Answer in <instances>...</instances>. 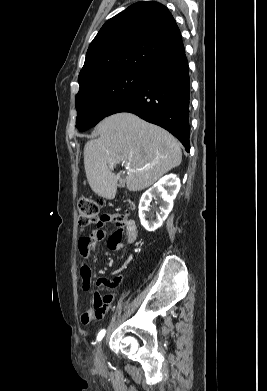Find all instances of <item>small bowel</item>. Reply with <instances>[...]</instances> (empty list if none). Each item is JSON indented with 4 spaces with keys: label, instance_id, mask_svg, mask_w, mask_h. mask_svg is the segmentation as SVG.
<instances>
[{
    "label": "small bowel",
    "instance_id": "c3829d8e",
    "mask_svg": "<svg viewBox=\"0 0 267 391\" xmlns=\"http://www.w3.org/2000/svg\"><path fill=\"white\" fill-rule=\"evenodd\" d=\"M117 214H104L101 217V221L97 224V229L94 230L89 236L92 240V248L95 243L101 240L105 233L102 230V227L107 223H114L118 229L114 231L108 238L107 245L111 250H122L125 248V245L122 243V233L125 232L127 236V242L129 244H133L137 240V227L133 220H125L122 223L118 221ZM86 254L80 252L84 263L81 267L80 275L83 282V289L90 290L92 285L95 283L98 287H105L109 289H113L118 286L121 281V275L117 274L112 279L108 278H98L95 282L92 278V273L89 266L86 264V260L88 259L91 250ZM114 293H107L105 295H101L99 292H95L92 299V305L89 310L84 312L81 316V321L84 324H87L91 321L100 319L109 309L112 301L114 300Z\"/></svg>",
    "mask_w": 267,
    "mask_h": 391
}]
</instances>
